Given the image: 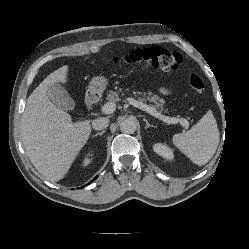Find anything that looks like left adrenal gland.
I'll return each mask as SVG.
<instances>
[{
  "label": "left adrenal gland",
  "mask_w": 249,
  "mask_h": 249,
  "mask_svg": "<svg viewBox=\"0 0 249 249\" xmlns=\"http://www.w3.org/2000/svg\"><path fill=\"white\" fill-rule=\"evenodd\" d=\"M143 121L146 123L145 129H148L149 127L155 128V126H154V125H151V124L148 122L147 119L144 118Z\"/></svg>",
  "instance_id": "1"
}]
</instances>
